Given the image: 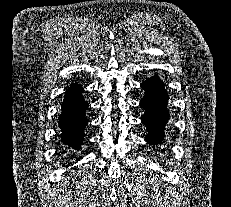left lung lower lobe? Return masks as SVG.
Returning <instances> with one entry per match:
<instances>
[{
  "instance_id": "0a47b994",
  "label": "left lung lower lobe",
  "mask_w": 231,
  "mask_h": 207,
  "mask_svg": "<svg viewBox=\"0 0 231 207\" xmlns=\"http://www.w3.org/2000/svg\"><path fill=\"white\" fill-rule=\"evenodd\" d=\"M141 87L145 90L140 105L145 110L142 122L148 128L146 141L154 145L159 144L164 139V128L169 119L168 95L163 82L157 76L143 82Z\"/></svg>"
}]
</instances>
